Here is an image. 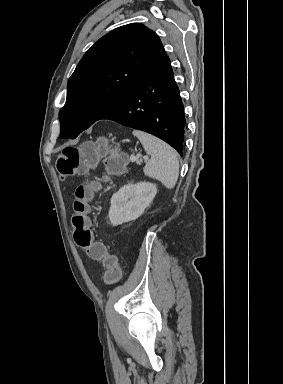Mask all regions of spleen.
Returning a JSON list of instances; mask_svg holds the SVG:
<instances>
[{"mask_svg":"<svg viewBox=\"0 0 283 384\" xmlns=\"http://www.w3.org/2000/svg\"><path fill=\"white\" fill-rule=\"evenodd\" d=\"M132 134L140 140L146 154L151 156L143 170L145 176L159 180L165 188H174L179 174V160L175 150L145 132L134 130Z\"/></svg>","mask_w":283,"mask_h":384,"instance_id":"spleen-1","label":"spleen"}]
</instances>
